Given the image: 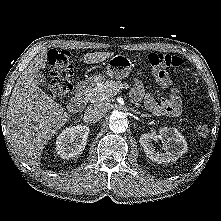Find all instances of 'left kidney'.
<instances>
[{
    "instance_id": "1",
    "label": "left kidney",
    "mask_w": 221,
    "mask_h": 221,
    "mask_svg": "<svg viewBox=\"0 0 221 221\" xmlns=\"http://www.w3.org/2000/svg\"><path fill=\"white\" fill-rule=\"evenodd\" d=\"M159 133L163 138L162 149L164 152H160L154 146L153 142L157 141V136L154 133L142 134L139 140L145 154L153 162L158 164L169 163L187 152V142L176 128L163 127Z\"/></svg>"
}]
</instances>
